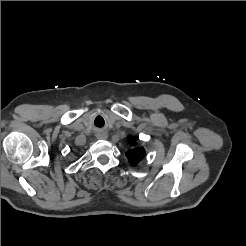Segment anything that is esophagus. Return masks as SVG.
Returning <instances> with one entry per match:
<instances>
[{
    "label": "esophagus",
    "instance_id": "1",
    "mask_svg": "<svg viewBox=\"0 0 246 246\" xmlns=\"http://www.w3.org/2000/svg\"><path fill=\"white\" fill-rule=\"evenodd\" d=\"M97 138L98 139H106L107 138V134L104 133V132L97 133Z\"/></svg>",
    "mask_w": 246,
    "mask_h": 246
}]
</instances>
